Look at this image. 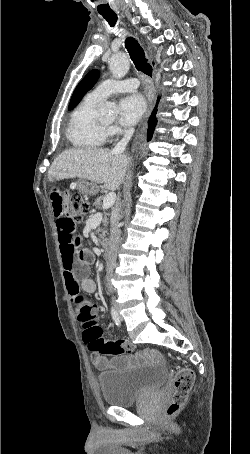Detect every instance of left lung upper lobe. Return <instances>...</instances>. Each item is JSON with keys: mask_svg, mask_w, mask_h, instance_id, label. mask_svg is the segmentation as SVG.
<instances>
[{"mask_svg": "<svg viewBox=\"0 0 250 454\" xmlns=\"http://www.w3.org/2000/svg\"><path fill=\"white\" fill-rule=\"evenodd\" d=\"M98 77L99 72L92 70L82 79L73 92L68 110H72L77 106L82 97L95 85Z\"/></svg>", "mask_w": 250, "mask_h": 454, "instance_id": "5c2ea615", "label": "left lung upper lobe"}]
</instances>
